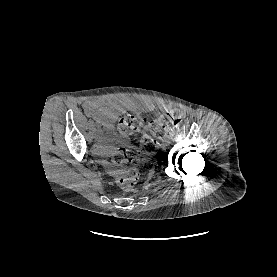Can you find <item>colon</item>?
Listing matches in <instances>:
<instances>
[{
  "label": "colon",
  "mask_w": 277,
  "mask_h": 277,
  "mask_svg": "<svg viewBox=\"0 0 277 277\" xmlns=\"http://www.w3.org/2000/svg\"><path fill=\"white\" fill-rule=\"evenodd\" d=\"M181 121V113L178 110L166 113L151 124L149 134L143 136L140 147L127 146L114 148L110 151L111 162L120 169L115 173L114 179L123 190H131L139 180V172L133 167H124L126 164L135 165L144 158L154 155L159 149V142L166 130L176 128ZM145 125V120L139 115L127 114L120 118L119 131L129 135L140 131Z\"/></svg>",
  "instance_id": "1"
}]
</instances>
